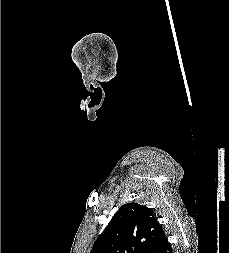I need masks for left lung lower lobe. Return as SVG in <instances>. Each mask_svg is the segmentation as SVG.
Masks as SVG:
<instances>
[{"mask_svg": "<svg viewBox=\"0 0 229 253\" xmlns=\"http://www.w3.org/2000/svg\"><path fill=\"white\" fill-rule=\"evenodd\" d=\"M155 253H173L172 247L166 237L162 240V242L157 247Z\"/></svg>", "mask_w": 229, "mask_h": 253, "instance_id": "left-lung-lower-lobe-1", "label": "left lung lower lobe"}]
</instances>
